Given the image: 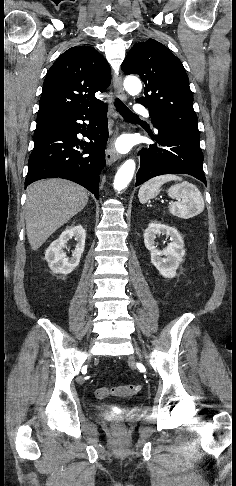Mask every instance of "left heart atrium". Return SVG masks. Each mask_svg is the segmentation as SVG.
I'll return each mask as SVG.
<instances>
[{
	"label": "left heart atrium",
	"instance_id": "left-heart-atrium-1",
	"mask_svg": "<svg viewBox=\"0 0 236 486\" xmlns=\"http://www.w3.org/2000/svg\"><path fill=\"white\" fill-rule=\"evenodd\" d=\"M116 148L118 151L120 152H125L128 150L129 148V144L128 142L125 140V139H120L117 143H116Z\"/></svg>",
	"mask_w": 236,
	"mask_h": 486
}]
</instances>
